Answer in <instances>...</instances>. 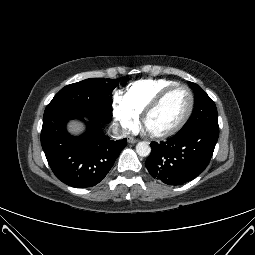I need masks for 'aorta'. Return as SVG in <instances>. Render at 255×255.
I'll use <instances>...</instances> for the list:
<instances>
[{
	"label": "aorta",
	"instance_id": "1",
	"mask_svg": "<svg viewBox=\"0 0 255 255\" xmlns=\"http://www.w3.org/2000/svg\"><path fill=\"white\" fill-rule=\"evenodd\" d=\"M136 152L141 157H146L151 153V147L145 141L138 142L136 145Z\"/></svg>",
	"mask_w": 255,
	"mask_h": 255
}]
</instances>
